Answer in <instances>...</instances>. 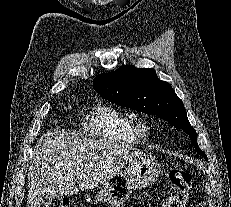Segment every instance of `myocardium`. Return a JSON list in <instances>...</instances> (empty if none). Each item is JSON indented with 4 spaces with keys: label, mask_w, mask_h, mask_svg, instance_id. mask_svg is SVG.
Segmentation results:
<instances>
[{
    "label": "myocardium",
    "mask_w": 231,
    "mask_h": 207,
    "mask_svg": "<svg viewBox=\"0 0 231 207\" xmlns=\"http://www.w3.org/2000/svg\"><path fill=\"white\" fill-rule=\"evenodd\" d=\"M135 123L137 125L138 131L141 135H146L149 131V126L145 119L138 118L135 120Z\"/></svg>",
    "instance_id": "myocardium-1"
}]
</instances>
